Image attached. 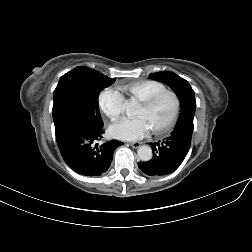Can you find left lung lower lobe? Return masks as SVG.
Returning a JSON list of instances; mask_svg holds the SVG:
<instances>
[{"mask_svg":"<svg viewBox=\"0 0 252 252\" xmlns=\"http://www.w3.org/2000/svg\"><path fill=\"white\" fill-rule=\"evenodd\" d=\"M193 120L183 118L169 137L163 141L149 143L153 157L146 162H139L140 170L149 176H162L175 171L186 157L192 139Z\"/></svg>","mask_w":252,"mask_h":252,"instance_id":"1","label":"left lung lower lobe"}]
</instances>
